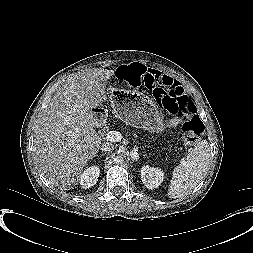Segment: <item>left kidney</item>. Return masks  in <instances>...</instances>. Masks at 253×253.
I'll list each match as a JSON object with an SVG mask.
<instances>
[{
  "label": "left kidney",
  "instance_id": "left-kidney-1",
  "mask_svg": "<svg viewBox=\"0 0 253 253\" xmlns=\"http://www.w3.org/2000/svg\"><path fill=\"white\" fill-rule=\"evenodd\" d=\"M164 179V173L161 169L149 165L141 168V180L148 189L157 188Z\"/></svg>",
  "mask_w": 253,
  "mask_h": 253
}]
</instances>
